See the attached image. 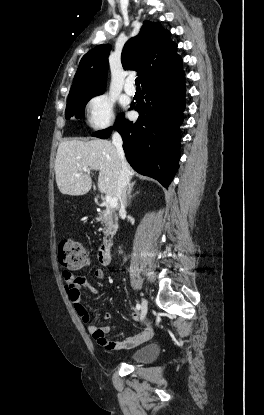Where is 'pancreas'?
I'll use <instances>...</instances> for the list:
<instances>
[{"instance_id":"cf45deb5","label":"pancreas","mask_w":264,"mask_h":415,"mask_svg":"<svg viewBox=\"0 0 264 415\" xmlns=\"http://www.w3.org/2000/svg\"><path fill=\"white\" fill-rule=\"evenodd\" d=\"M98 220L104 223L105 240L108 236H113L118 228V218L112 209L107 208L99 213Z\"/></svg>"}]
</instances>
